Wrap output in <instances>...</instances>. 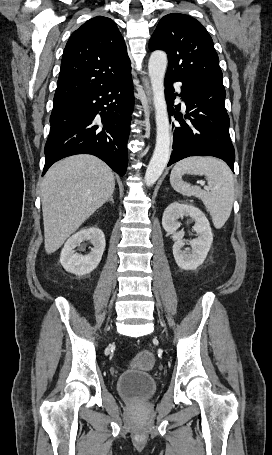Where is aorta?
<instances>
[{"mask_svg": "<svg viewBox=\"0 0 272 455\" xmlns=\"http://www.w3.org/2000/svg\"><path fill=\"white\" fill-rule=\"evenodd\" d=\"M166 68V53L160 50L154 51L148 62V71L155 107L156 145L145 173L144 180L147 186L153 185L159 179L170 158V123L164 93Z\"/></svg>", "mask_w": 272, "mask_h": 455, "instance_id": "aorta-1", "label": "aorta"}]
</instances>
